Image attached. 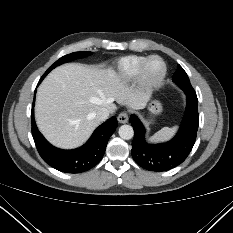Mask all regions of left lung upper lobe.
Listing matches in <instances>:
<instances>
[{
	"label": "left lung upper lobe",
	"mask_w": 233,
	"mask_h": 233,
	"mask_svg": "<svg viewBox=\"0 0 233 233\" xmlns=\"http://www.w3.org/2000/svg\"><path fill=\"white\" fill-rule=\"evenodd\" d=\"M173 81L183 90L193 89L186 72L180 65H178V69L173 75Z\"/></svg>",
	"instance_id": "obj_1"
}]
</instances>
